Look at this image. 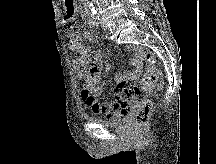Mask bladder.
<instances>
[{
	"mask_svg": "<svg viewBox=\"0 0 216 164\" xmlns=\"http://www.w3.org/2000/svg\"><path fill=\"white\" fill-rule=\"evenodd\" d=\"M93 121L97 122L100 125L107 126V127H121L125 123V118L122 117L116 120H107L99 117H92Z\"/></svg>",
	"mask_w": 216,
	"mask_h": 164,
	"instance_id": "obj_1",
	"label": "bladder"
}]
</instances>
